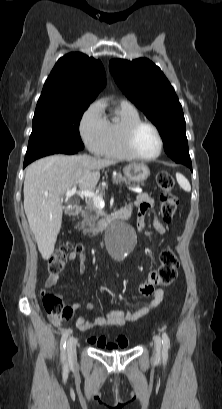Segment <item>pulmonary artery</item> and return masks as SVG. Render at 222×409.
<instances>
[{
	"instance_id": "obj_1",
	"label": "pulmonary artery",
	"mask_w": 222,
	"mask_h": 409,
	"mask_svg": "<svg viewBox=\"0 0 222 409\" xmlns=\"http://www.w3.org/2000/svg\"><path fill=\"white\" fill-rule=\"evenodd\" d=\"M123 103H128V104H130L129 102H127V101H123Z\"/></svg>"
}]
</instances>
